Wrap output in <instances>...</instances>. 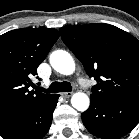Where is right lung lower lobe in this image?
I'll use <instances>...</instances> for the list:
<instances>
[{
	"label": "right lung lower lobe",
	"mask_w": 139,
	"mask_h": 139,
	"mask_svg": "<svg viewBox=\"0 0 139 139\" xmlns=\"http://www.w3.org/2000/svg\"><path fill=\"white\" fill-rule=\"evenodd\" d=\"M59 95L53 94L34 110L0 124L5 139H42L48 132Z\"/></svg>",
	"instance_id": "1"
}]
</instances>
